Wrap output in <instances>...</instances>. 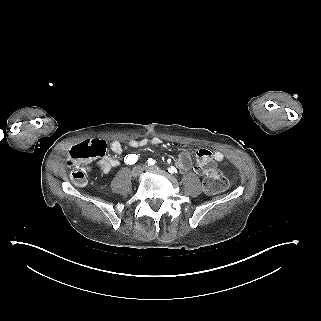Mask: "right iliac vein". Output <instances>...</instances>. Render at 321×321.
I'll return each instance as SVG.
<instances>
[{"label":"right iliac vein","mask_w":321,"mask_h":321,"mask_svg":"<svg viewBox=\"0 0 321 321\" xmlns=\"http://www.w3.org/2000/svg\"><path fill=\"white\" fill-rule=\"evenodd\" d=\"M143 169L144 168L142 166H135L131 171V176L133 178H138L142 174Z\"/></svg>","instance_id":"right-iliac-vein-1"}]
</instances>
